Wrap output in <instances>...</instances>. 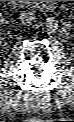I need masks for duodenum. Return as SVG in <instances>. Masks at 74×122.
Listing matches in <instances>:
<instances>
[{"label":"duodenum","instance_id":"1","mask_svg":"<svg viewBox=\"0 0 74 122\" xmlns=\"http://www.w3.org/2000/svg\"><path fill=\"white\" fill-rule=\"evenodd\" d=\"M19 4L22 8H30L32 3L31 1H13ZM52 1H38V7L42 11H47L51 8Z\"/></svg>","mask_w":74,"mask_h":122}]
</instances>
